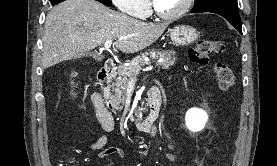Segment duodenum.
Listing matches in <instances>:
<instances>
[{"instance_id": "410a0bca", "label": "duodenum", "mask_w": 277, "mask_h": 166, "mask_svg": "<svg viewBox=\"0 0 277 166\" xmlns=\"http://www.w3.org/2000/svg\"><path fill=\"white\" fill-rule=\"evenodd\" d=\"M116 71V64L113 60L109 59L106 61L102 69L100 70L97 78V84L99 90L95 93L97 98V104L99 112L105 118H113L112 112L114 110V104L111 101L107 89L108 82L114 76ZM148 113L145 117L136 122V126L140 131L149 132L153 129V125L158 117L160 106H161V96L158 89H152L147 100Z\"/></svg>"}]
</instances>
